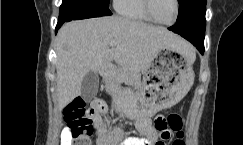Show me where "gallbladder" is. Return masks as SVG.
<instances>
[{"label":"gallbladder","mask_w":243,"mask_h":145,"mask_svg":"<svg viewBox=\"0 0 243 145\" xmlns=\"http://www.w3.org/2000/svg\"><path fill=\"white\" fill-rule=\"evenodd\" d=\"M99 88V76L94 71H89L81 84V96L84 100H92L98 92Z\"/></svg>","instance_id":"1"}]
</instances>
